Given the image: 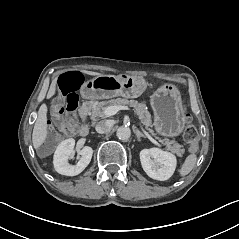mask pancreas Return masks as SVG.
I'll list each match as a JSON object with an SVG mask.
<instances>
[{"instance_id": "1", "label": "pancreas", "mask_w": 239, "mask_h": 239, "mask_svg": "<svg viewBox=\"0 0 239 239\" xmlns=\"http://www.w3.org/2000/svg\"><path fill=\"white\" fill-rule=\"evenodd\" d=\"M129 105L135 109L136 114L139 116L142 124L145 125V128L152 134L153 130L149 127L152 125L151 114L147 110V107L144 103H139L136 100H128L126 98H116L108 101L93 102L91 110V119L96 120L98 117H105V109L109 106H123ZM164 144L167 146L168 150L177 155H181L185 152L182 148L183 146L178 144L175 140L169 141L168 139L164 140Z\"/></svg>"}]
</instances>
